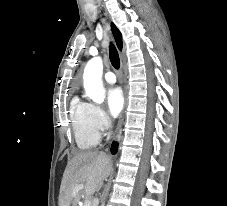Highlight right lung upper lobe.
I'll return each instance as SVG.
<instances>
[{"instance_id": "right-lung-upper-lobe-1", "label": "right lung upper lobe", "mask_w": 227, "mask_h": 206, "mask_svg": "<svg viewBox=\"0 0 227 206\" xmlns=\"http://www.w3.org/2000/svg\"><path fill=\"white\" fill-rule=\"evenodd\" d=\"M111 30L119 50H122V35L120 31L117 29V27L114 24L111 25Z\"/></svg>"}]
</instances>
